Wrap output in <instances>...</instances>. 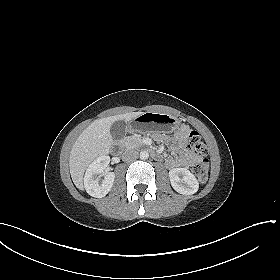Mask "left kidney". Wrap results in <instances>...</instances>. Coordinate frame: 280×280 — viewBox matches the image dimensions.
Masks as SVG:
<instances>
[{"mask_svg": "<svg viewBox=\"0 0 280 280\" xmlns=\"http://www.w3.org/2000/svg\"><path fill=\"white\" fill-rule=\"evenodd\" d=\"M171 185L175 191L183 195H192L198 191L196 177L186 168H174L169 171Z\"/></svg>", "mask_w": 280, "mask_h": 280, "instance_id": "1", "label": "left kidney"}]
</instances>
